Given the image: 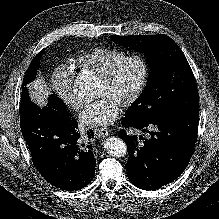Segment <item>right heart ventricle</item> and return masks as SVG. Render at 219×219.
Instances as JSON below:
<instances>
[{"label": "right heart ventricle", "mask_w": 219, "mask_h": 219, "mask_svg": "<svg viewBox=\"0 0 219 219\" xmlns=\"http://www.w3.org/2000/svg\"><path fill=\"white\" fill-rule=\"evenodd\" d=\"M125 56V52L115 48H96L78 54L72 59V63L75 67L84 72H90L101 76Z\"/></svg>", "instance_id": "obj_1"}]
</instances>
